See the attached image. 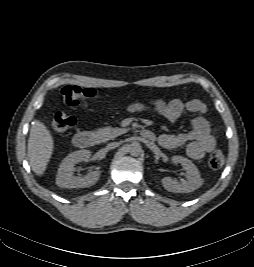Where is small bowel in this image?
Segmentation results:
<instances>
[{
    "label": "small bowel",
    "mask_w": 254,
    "mask_h": 267,
    "mask_svg": "<svg viewBox=\"0 0 254 267\" xmlns=\"http://www.w3.org/2000/svg\"><path fill=\"white\" fill-rule=\"evenodd\" d=\"M155 104L162 106V114L169 121H177L183 113L194 114L191 121L192 129L187 133L161 134L158 137L159 144L166 149H174L187 144L186 151L190 158L199 160L211 152L217 142V135L212 128L211 122L206 117L207 107L198 100L192 99L183 102L173 99L167 104L156 101ZM128 109L132 112L142 111L145 106L141 103H132Z\"/></svg>",
    "instance_id": "1"
}]
</instances>
